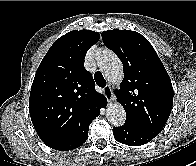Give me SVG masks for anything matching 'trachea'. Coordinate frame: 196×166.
<instances>
[{
  "mask_svg": "<svg viewBox=\"0 0 196 166\" xmlns=\"http://www.w3.org/2000/svg\"><path fill=\"white\" fill-rule=\"evenodd\" d=\"M94 79L98 86L100 87L106 86V80L104 79L103 75L99 71L95 72Z\"/></svg>",
  "mask_w": 196,
  "mask_h": 166,
  "instance_id": "1",
  "label": "trachea"
}]
</instances>
